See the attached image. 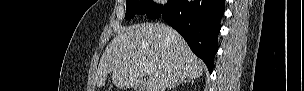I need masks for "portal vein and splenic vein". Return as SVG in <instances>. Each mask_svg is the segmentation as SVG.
Instances as JSON below:
<instances>
[{
  "label": "portal vein and splenic vein",
  "mask_w": 304,
  "mask_h": 91,
  "mask_svg": "<svg viewBox=\"0 0 304 91\" xmlns=\"http://www.w3.org/2000/svg\"><path fill=\"white\" fill-rule=\"evenodd\" d=\"M143 67H144V72L148 75H151L152 74V71L150 69V67L146 64H143Z\"/></svg>",
  "instance_id": "1"
}]
</instances>
